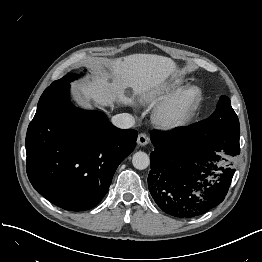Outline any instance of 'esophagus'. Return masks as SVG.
<instances>
[{"label": "esophagus", "mask_w": 262, "mask_h": 262, "mask_svg": "<svg viewBox=\"0 0 262 262\" xmlns=\"http://www.w3.org/2000/svg\"><path fill=\"white\" fill-rule=\"evenodd\" d=\"M137 143L140 146H145L149 143V137L145 133H140L137 138Z\"/></svg>", "instance_id": "34e87169"}]
</instances>
